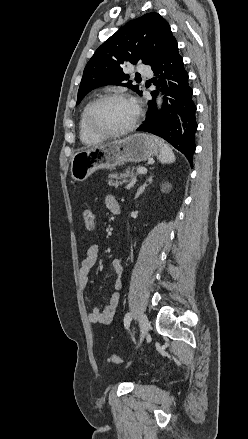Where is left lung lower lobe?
<instances>
[{
	"label": "left lung lower lobe",
	"mask_w": 248,
	"mask_h": 439,
	"mask_svg": "<svg viewBox=\"0 0 248 439\" xmlns=\"http://www.w3.org/2000/svg\"><path fill=\"white\" fill-rule=\"evenodd\" d=\"M155 75L160 74L156 82L162 86L165 94L163 108L158 113L154 98L148 101V112L144 123L138 131L160 136L182 152L192 166L195 152L196 105L192 100L193 91L188 84V73L183 66V59L178 53L175 41L153 66Z\"/></svg>",
	"instance_id": "obj_1"
}]
</instances>
